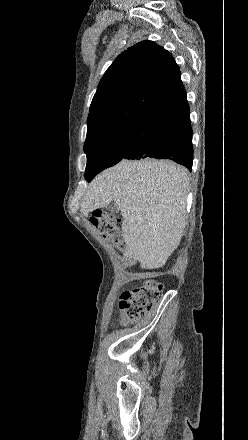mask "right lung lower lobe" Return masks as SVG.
Returning <instances> with one entry per match:
<instances>
[{
  "label": "right lung lower lobe",
  "mask_w": 248,
  "mask_h": 440,
  "mask_svg": "<svg viewBox=\"0 0 248 440\" xmlns=\"http://www.w3.org/2000/svg\"><path fill=\"white\" fill-rule=\"evenodd\" d=\"M128 133L130 140L123 159H170L192 169V129L186 95L152 111Z\"/></svg>",
  "instance_id": "right-lung-lower-lobe-1"
}]
</instances>
